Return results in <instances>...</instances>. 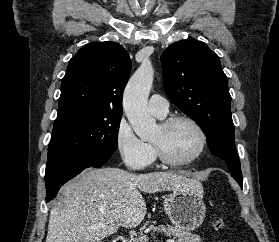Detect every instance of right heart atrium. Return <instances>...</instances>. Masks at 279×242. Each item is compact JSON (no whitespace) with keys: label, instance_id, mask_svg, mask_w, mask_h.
<instances>
[{"label":"right heart atrium","instance_id":"1","mask_svg":"<svg viewBox=\"0 0 279 242\" xmlns=\"http://www.w3.org/2000/svg\"><path fill=\"white\" fill-rule=\"evenodd\" d=\"M115 145L122 162L131 169H143L154 159L151 146L135 134L123 117L116 127Z\"/></svg>","mask_w":279,"mask_h":242}]
</instances>
